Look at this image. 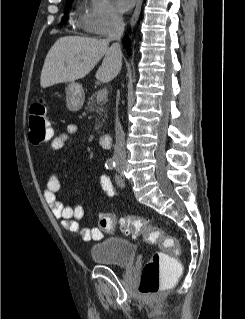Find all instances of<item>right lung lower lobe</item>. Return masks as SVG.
Here are the masks:
<instances>
[{
  "instance_id": "98d812e1",
  "label": "right lung lower lobe",
  "mask_w": 245,
  "mask_h": 319,
  "mask_svg": "<svg viewBox=\"0 0 245 319\" xmlns=\"http://www.w3.org/2000/svg\"><path fill=\"white\" fill-rule=\"evenodd\" d=\"M123 44H124V47H125L126 49H128L129 46H130V40H129V38L125 37V38L123 39Z\"/></svg>"
}]
</instances>
